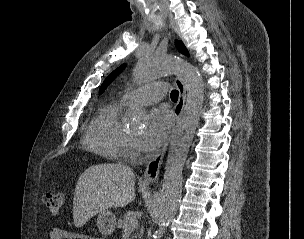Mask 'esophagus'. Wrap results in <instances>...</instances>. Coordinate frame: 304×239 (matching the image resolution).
I'll use <instances>...</instances> for the list:
<instances>
[{
  "instance_id": "34e87169",
  "label": "esophagus",
  "mask_w": 304,
  "mask_h": 239,
  "mask_svg": "<svg viewBox=\"0 0 304 239\" xmlns=\"http://www.w3.org/2000/svg\"><path fill=\"white\" fill-rule=\"evenodd\" d=\"M175 84L179 92L178 101L174 107V116H175V121L177 123L184 108L185 99H186V87L183 81L178 76L175 77ZM170 140H171V135L169 136L167 142L165 143L161 151L148 162L144 174L142 176L143 182L153 183L157 180Z\"/></svg>"
}]
</instances>
